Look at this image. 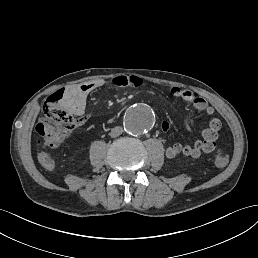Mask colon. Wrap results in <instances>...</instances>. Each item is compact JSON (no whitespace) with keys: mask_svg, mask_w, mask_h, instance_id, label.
Returning <instances> with one entry per match:
<instances>
[{"mask_svg":"<svg viewBox=\"0 0 258 258\" xmlns=\"http://www.w3.org/2000/svg\"><path fill=\"white\" fill-rule=\"evenodd\" d=\"M64 91L59 90L49 96L43 106V116L38 121L35 130L39 136V144L43 150L56 148L65 137L75 128L83 124L84 117H75L60 106ZM229 156L218 148L214 154V163L217 167H225Z\"/></svg>","mask_w":258,"mask_h":258,"instance_id":"5ec220e1","label":"colon"}]
</instances>
